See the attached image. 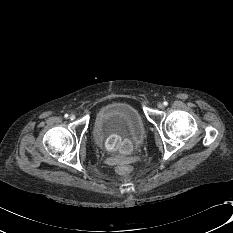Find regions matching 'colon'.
<instances>
[{"instance_id": "5ec220e1", "label": "colon", "mask_w": 233, "mask_h": 233, "mask_svg": "<svg viewBox=\"0 0 233 233\" xmlns=\"http://www.w3.org/2000/svg\"><path fill=\"white\" fill-rule=\"evenodd\" d=\"M117 171L120 174H128L129 173V169L126 166H119L117 168Z\"/></svg>"}]
</instances>
